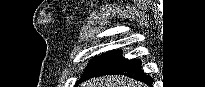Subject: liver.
Here are the masks:
<instances>
[{"mask_svg": "<svg viewBox=\"0 0 205 87\" xmlns=\"http://www.w3.org/2000/svg\"><path fill=\"white\" fill-rule=\"evenodd\" d=\"M81 87H146L144 84L133 81L124 76H102L93 78L82 84Z\"/></svg>", "mask_w": 205, "mask_h": 87, "instance_id": "6515ba94", "label": "liver"}]
</instances>
